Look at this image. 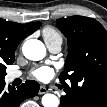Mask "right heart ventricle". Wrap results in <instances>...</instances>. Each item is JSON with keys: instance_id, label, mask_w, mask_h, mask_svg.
I'll list each match as a JSON object with an SVG mask.
<instances>
[{"instance_id": "e07e8e85", "label": "right heart ventricle", "mask_w": 107, "mask_h": 107, "mask_svg": "<svg viewBox=\"0 0 107 107\" xmlns=\"http://www.w3.org/2000/svg\"><path fill=\"white\" fill-rule=\"evenodd\" d=\"M42 36L46 44L52 43L54 41L62 42V35L60 34V32L51 26H47L42 30Z\"/></svg>"}]
</instances>
